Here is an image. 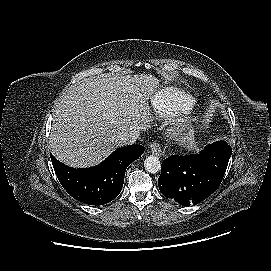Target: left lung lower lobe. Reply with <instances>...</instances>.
Returning <instances> with one entry per match:
<instances>
[{"label": "left lung lower lobe", "mask_w": 271, "mask_h": 271, "mask_svg": "<svg viewBox=\"0 0 271 271\" xmlns=\"http://www.w3.org/2000/svg\"><path fill=\"white\" fill-rule=\"evenodd\" d=\"M226 168L198 155H173L161 165L158 186L166 198L181 205L197 204L209 197L220 185Z\"/></svg>", "instance_id": "0a47b994"}]
</instances>
